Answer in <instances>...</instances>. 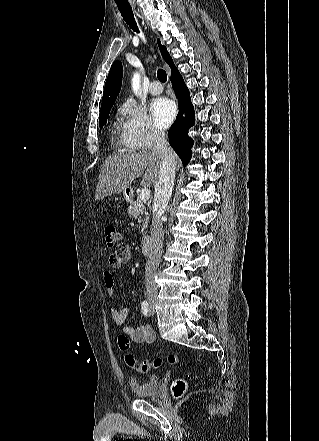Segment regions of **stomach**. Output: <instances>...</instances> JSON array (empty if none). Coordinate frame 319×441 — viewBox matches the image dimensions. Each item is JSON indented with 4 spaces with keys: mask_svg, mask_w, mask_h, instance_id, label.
Masks as SVG:
<instances>
[{
    "mask_svg": "<svg viewBox=\"0 0 319 441\" xmlns=\"http://www.w3.org/2000/svg\"><path fill=\"white\" fill-rule=\"evenodd\" d=\"M129 194V190H125L124 192H123V194H122V197H123V199L125 200V199H127V195Z\"/></svg>",
    "mask_w": 319,
    "mask_h": 441,
    "instance_id": "stomach-1",
    "label": "stomach"
}]
</instances>
